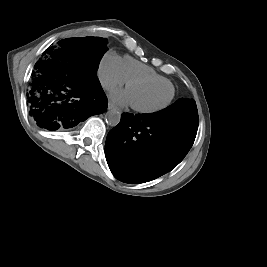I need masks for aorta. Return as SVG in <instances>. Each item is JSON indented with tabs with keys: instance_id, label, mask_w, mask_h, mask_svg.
I'll return each instance as SVG.
<instances>
[{
	"instance_id": "1",
	"label": "aorta",
	"mask_w": 267,
	"mask_h": 267,
	"mask_svg": "<svg viewBox=\"0 0 267 267\" xmlns=\"http://www.w3.org/2000/svg\"><path fill=\"white\" fill-rule=\"evenodd\" d=\"M121 115L117 110H109L105 114L106 123L110 126H116L120 122Z\"/></svg>"
}]
</instances>
